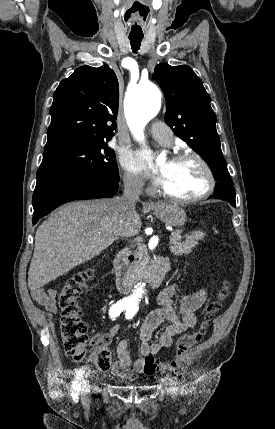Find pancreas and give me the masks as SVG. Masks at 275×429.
Returning a JSON list of instances; mask_svg holds the SVG:
<instances>
[{
    "instance_id": "pancreas-1",
    "label": "pancreas",
    "mask_w": 275,
    "mask_h": 429,
    "mask_svg": "<svg viewBox=\"0 0 275 429\" xmlns=\"http://www.w3.org/2000/svg\"><path fill=\"white\" fill-rule=\"evenodd\" d=\"M205 235L206 234L202 231H194L190 235L185 236V240L183 242H181V237H176L174 241L175 243L170 247V250L176 256L189 254L198 242L204 239ZM137 257L139 258V262L135 270L136 272L145 268L149 263L145 248L141 247Z\"/></svg>"
}]
</instances>
